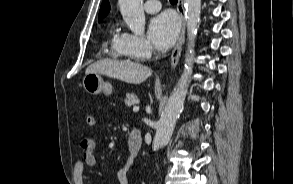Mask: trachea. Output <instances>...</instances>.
I'll list each match as a JSON object with an SVG mask.
<instances>
[{
	"instance_id": "3493384b",
	"label": "trachea",
	"mask_w": 293,
	"mask_h": 184,
	"mask_svg": "<svg viewBox=\"0 0 293 184\" xmlns=\"http://www.w3.org/2000/svg\"><path fill=\"white\" fill-rule=\"evenodd\" d=\"M178 0H170L171 3H177Z\"/></svg>"
}]
</instances>
